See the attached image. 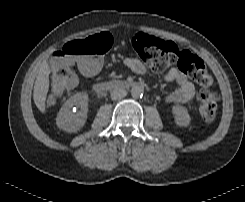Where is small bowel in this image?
<instances>
[{"instance_id": "small-bowel-1", "label": "small bowel", "mask_w": 245, "mask_h": 202, "mask_svg": "<svg viewBox=\"0 0 245 202\" xmlns=\"http://www.w3.org/2000/svg\"><path fill=\"white\" fill-rule=\"evenodd\" d=\"M123 66L136 75H144L146 73V68L144 64L136 58H125L123 59ZM91 73L96 74L100 70V64L91 63ZM166 82L175 83L176 89L170 92L166 96V101L168 103H188L191 101L195 95V85L190 80L188 75L184 73L177 66H173L169 69L164 77ZM54 104L53 99L50 97L47 100V106H52Z\"/></svg>"}]
</instances>
